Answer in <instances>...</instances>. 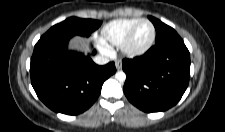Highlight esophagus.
<instances>
[{
	"label": "esophagus",
	"mask_w": 225,
	"mask_h": 132,
	"mask_svg": "<svg viewBox=\"0 0 225 132\" xmlns=\"http://www.w3.org/2000/svg\"><path fill=\"white\" fill-rule=\"evenodd\" d=\"M115 66H116V69H117V70L122 69V62H121L120 60H117V61L115 62Z\"/></svg>",
	"instance_id": "obj_1"
}]
</instances>
